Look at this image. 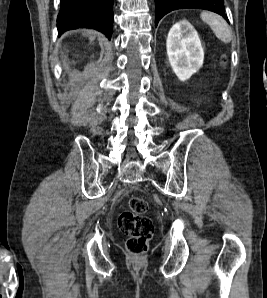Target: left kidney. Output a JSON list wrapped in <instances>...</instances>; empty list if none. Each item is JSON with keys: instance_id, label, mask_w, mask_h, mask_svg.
Listing matches in <instances>:
<instances>
[{"instance_id": "left-kidney-1", "label": "left kidney", "mask_w": 267, "mask_h": 298, "mask_svg": "<svg viewBox=\"0 0 267 298\" xmlns=\"http://www.w3.org/2000/svg\"><path fill=\"white\" fill-rule=\"evenodd\" d=\"M166 49L169 63L180 81L189 79L203 64L201 41L187 20L172 26L167 36Z\"/></svg>"}]
</instances>
